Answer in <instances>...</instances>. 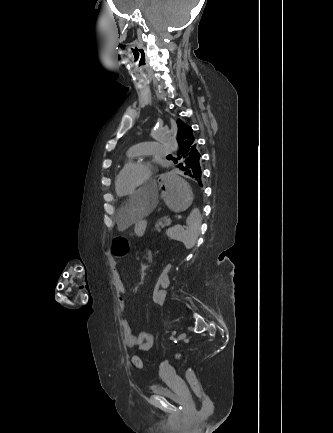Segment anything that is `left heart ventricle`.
Instances as JSON below:
<instances>
[{
  "label": "left heart ventricle",
  "mask_w": 333,
  "mask_h": 433,
  "mask_svg": "<svg viewBox=\"0 0 333 433\" xmlns=\"http://www.w3.org/2000/svg\"><path fill=\"white\" fill-rule=\"evenodd\" d=\"M147 170L143 167H135L126 171L119 181V188L122 193L134 191L145 179Z\"/></svg>",
  "instance_id": "left-heart-ventricle-1"
}]
</instances>
